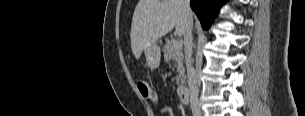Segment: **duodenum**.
I'll list each match as a JSON object with an SVG mask.
<instances>
[{"label":"duodenum","instance_id":"obj_1","mask_svg":"<svg viewBox=\"0 0 305 116\" xmlns=\"http://www.w3.org/2000/svg\"><path fill=\"white\" fill-rule=\"evenodd\" d=\"M178 98H179V101L184 105H187L190 103L189 89L187 86L183 85V86L179 87Z\"/></svg>","mask_w":305,"mask_h":116}]
</instances>
